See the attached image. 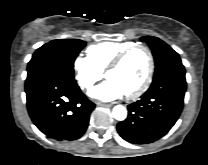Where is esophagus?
I'll return each mask as SVG.
<instances>
[{
    "label": "esophagus",
    "instance_id": "esophagus-1",
    "mask_svg": "<svg viewBox=\"0 0 208 165\" xmlns=\"http://www.w3.org/2000/svg\"><path fill=\"white\" fill-rule=\"evenodd\" d=\"M97 106L108 107L109 108V107H112L113 105L112 104H105V103L98 102Z\"/></svg>",
    "mask_w": 208,
    "mask_h": 165
}]
</instances>
